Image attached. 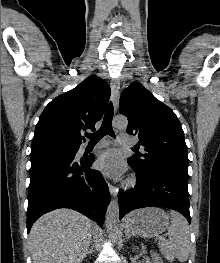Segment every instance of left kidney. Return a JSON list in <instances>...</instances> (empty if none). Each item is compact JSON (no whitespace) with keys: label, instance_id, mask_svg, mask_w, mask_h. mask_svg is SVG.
Instances as JSON below:
<instances>
[{"label":"left kidney","instance_id":"obj_1","mask_svg":"<svg viewBox=\"0 0 220 263\" xmlns=\"http://www.w3.org/2000/svg\"><path fill=\"white\" fill-rule=\"evenodd\" d=\"M152 258H153L154 263H163V262L160 260V257H159V255H158L156 252H153V253H152Z\"/></svg>","mask_w":220,"mask_h":263}]
</instances>
